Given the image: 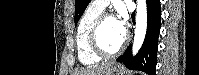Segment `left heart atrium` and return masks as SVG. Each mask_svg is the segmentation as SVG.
<instances>
[{"label": "left heart atrium", "instance_id": "1", "mask_svg": "<svg viewBox=\"0 0 199 75\" xmlns=\"http://www.w3.org/2000/svg\"><path fill=\"white\" fill-rule=\"evenodd\" d=\"M119 30L125 34L127 28V17L124 13H119L115 18Z\"/></svg>", "mask_w": 199, "mask_h": 75}]
</instances>
